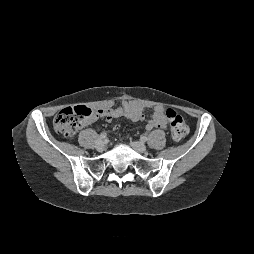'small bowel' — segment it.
I'll use <instances>...</instances> for the list:
<instances>
[{"mask_svg":"<svg viewBox=\"0 0 254 254\" xmlns=\"http://www.w3.org/2000/svg\"><path fill=\"white\" fill-rule=\"evenodd\" d=\"M145 110L143 106L135 102L123 101L118 107L101 109L98 112L99 115L108 122L116 118L125 117L133 122H145L147 130H152L154 128L165 129L167 127V121L164 116V106L156 105L151 107V114L149 117L146 116Z\"/></svg>","mask_w":254,"mask_h":254,"instance_id":"1","label":"small bowel"}]
</instances>
